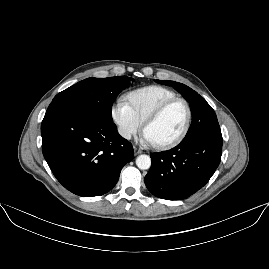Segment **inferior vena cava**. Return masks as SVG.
<instances>
[{"label":"inferior vena cava","instance_id":"obj_1","mask_svg":"<svg viewBox=\"0 0 269 269\" xmlns=\"http://www.w3.org/2000/svg\"><path fill=\"white\" fill-rule=\"evenodd\" d=\"M118 133L121 137L130 140L132 138L131 132L129 130H126L124 128H119Z\"/></svg>","mask_w":269,"mask_h":269}]
</instances>
